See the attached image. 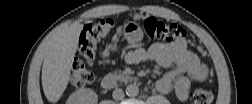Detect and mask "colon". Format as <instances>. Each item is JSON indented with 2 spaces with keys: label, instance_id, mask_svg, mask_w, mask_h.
<instances>
[{
  "label": "colon",
  "instance_id": "colon-1",
  "mask_svg": "<svg viewBox=\"0 0 252 104\" xmlns=\"http://www.w3.org/2000/svg\"><path fill=\"white\" fill-rule=\"evenodd\" d=\"M112 22L108 19L98 20L86 25L79 38V52L81 57L90 63L95 57L97 43L104 39L111 31ZM145 36L149 40L171 42L184 37L186 31L175 22H168L149 17L143 22ZM94 81V74L85 66L80 58H76L70 76L71 84L81 88ZM196 104H209L212 101V93L209 89L198 88L193 95Z\"/></svg>",
  "mask_w": 252,
  "mask_h": 104
}]
</instances>
